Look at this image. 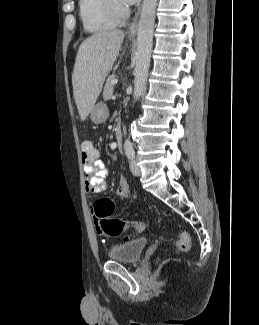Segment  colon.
<instances>
[{"instance_id":"colon-1","label":"colon","mask_w":259,"mask_h":325,"mask_svg":"<svg viewBox=\"0 0 259 325\" xmlns=\"http://www.w3.org/2000/svg\"><path fill=\"white\" fill-rule=\"evenodd\" d=\"M80 153L82 162L90 163L96 159L98 150L89 140L81 143ZM115 203L113 200L104 198L98 200L93 207L94 216L99 224V228L105 235L116 236L122 232L131 229L139 234L145 230V223L141 221L125 222L113 217ZM129 237L125 236L124 241H128ZM190 248V236L185 231H180L177 234L175 250L178 253L187 252Z\"/></svg>"}]
</instances>
